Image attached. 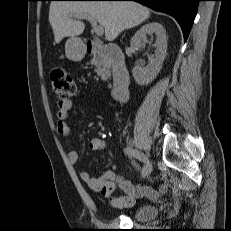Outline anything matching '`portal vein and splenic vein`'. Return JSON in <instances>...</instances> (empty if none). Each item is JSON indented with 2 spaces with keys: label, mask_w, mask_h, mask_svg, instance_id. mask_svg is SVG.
Here are the masks:
<instances>
[{
  "label": "portal vein and splenic vein",
  "mask_w": 231,
  "mask_h": 231,
  "mask_svg": "<svg viewBox=\"0 0 231 231\" xmlns=\"http://www.w3.org/2000/svg\"><path fill=\"white\" fill-rule=\"evenodd\" d=\"M74 17L75 18L87 19L91 23L95 34L97 36H102L103 35V32H104L103 27L101 25H98L97 21L93 17H91V16H89L87 14H78V15H75Z\"/></svg>",
  "instance_id": "obj_1"
}]
</instances>
